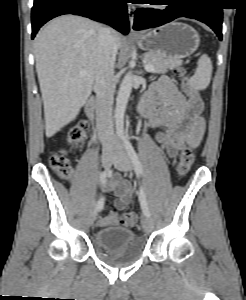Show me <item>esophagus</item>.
I'll list each match as a JSON object with an SVG mask.
<instances>
[{
    "instance_id": "obj_1",
    "label": "esophagus",
    "mask_w": 246,
    "mask_h": 300,
    "mask_svg": "<svg viewBox=\"0 0 246 300\" xmlns=\"http://www.w3.org/2000/svg\"><path fill=\"white\" fill-rule=\"evenodd\" d=\"M134 12H135V7L129 5L128 13H129L130 34H136V32L133 30Z\"/></svg>"
}]
</instances>
